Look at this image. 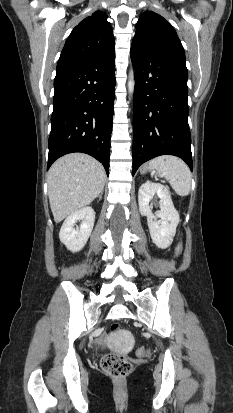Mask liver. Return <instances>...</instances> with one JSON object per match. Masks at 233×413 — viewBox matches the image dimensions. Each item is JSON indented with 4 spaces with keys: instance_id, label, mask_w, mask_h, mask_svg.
Masks as SVG:
<instances>
[{
    "instance_id": "1",
    "label": "liver",
    "mask_w": 233,
    "mask_h": 413,
    "mask_svg": "<svg viewBox=\"0 0 233 413\" xmlns=\"http://www.w3.org/2000/svg\"><path fill=\"white\" fill-rule=\"evenodd\" d=\"M105 179L101 163L87 154L59 158L48 174V196L55 222L89 205L103 191Z\"/></svg>"
}]
</instances>
